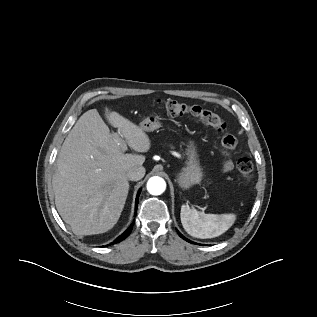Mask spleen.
Returning a JSON list of instances; mask_svg holds the SVG:
<instances>
[{"label":"spleen","mask_w":317,"mask_h":317,"mask_svg":"<svg viewBox=\"0 0 317 317\" xmlns=\"http://www.w3.org/2000/svg\"><path fill=\"white\" fill-rule=\"evenodd\" d=\"M180 217L185 231L201 239L220 236L234 224L236 219L233 213L205 214L190 208L189 205H182Z\"/></svg>","instance_id":"3e777b00"}]
</instances>
